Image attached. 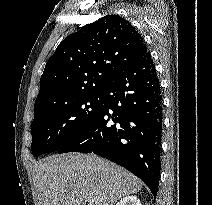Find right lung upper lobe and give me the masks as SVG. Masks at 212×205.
<instances>
[{"label":"right lung upper lobe","mask_w":212,"mask_h":205,"mask_svg":"<svg viewBox=\"0 0 212 205\" xmlns=\"http://www.w3.org/2000/svg\"><path fill=\"white\" fill-rule=\"evenodd\" d=\"M147 52L138 31L118 15L85 25L64 39L48 60L34 115L102 93L108 83Z\"/></svg>","instance_id":"1"}]
</instances>
